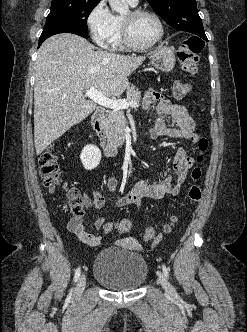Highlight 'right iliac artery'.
I'll use <instances>...</instances> for the list:
<instances>
[{
  "instance_id": "obj_1",
  "label": "right iliac artery",
  "mask_w": 247,
  "mask_h": 332,
  "mask_svg": "<svg viewBox=\"0 0 247 332\" xmlns=\"http://www.w3.org/2000/svg\"><path fill=\"white\" fill-rule=\"evenodd\" d=\"M80 272H81V269L80 267H78L75 271V275H74V282H77L79 277H80Z\"/></svg>"
}]
</instances>
